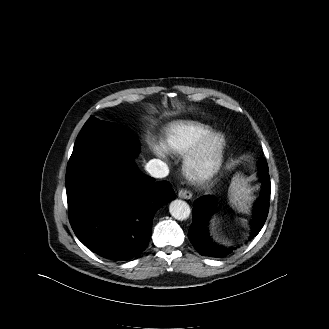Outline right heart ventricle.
<instances>
[{
	"label": "right heart ventricle",
	"instance_id": "e07e8e85",
	"mask_svg": "<svg viewBox=\"0 0 329 329\" xmlns=\"http://www.w3.org/2000/svg\"><path fill=\"white\" fill-rule=\"evenodd\" d=\"M211 132V127L201 123L173 122L165 129L162 146L169 153L183 155Z\"/></svg>",
	"mask_w": 329,
	"mask_h": 329
}]
</instances>
